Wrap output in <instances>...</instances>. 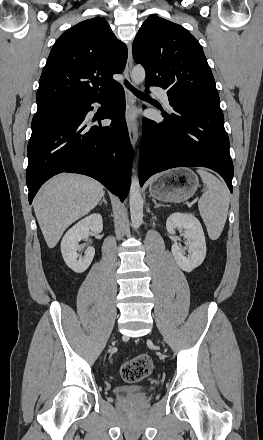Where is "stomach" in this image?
<instances>
[{"label":"stomach","instance_id":"1","mask_svg":"<svg viewBox=\"0 0 263 440\" xmlns=\"http://www.w3.org/2000/svg\"><path fill=\"white\" fill-rule=\"evenodd\" d=\"M198 186L197 175L190 169L180 168L153 178L149 184V192L157 200L181 203L191 198Z\"/></svg>","mask_w":263,"mask_h":440}]
</instances>
